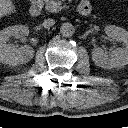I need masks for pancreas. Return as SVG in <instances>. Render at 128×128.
<instances>
[{
    "label": "pancreas",
    "instance_id": "obj_1",
    "mask_svg": "<svg viewBox=\"0 0 128 128\" xmlns=\"http://www.w3.org/2000/svg\"><path fill=\"white\" fill-rule=\"evenodd\" d=\"M44 2L45 9L51 13H56L64 8L60 0H44Z\"/></svg>",
    "mask_w": 128,
    "mask_h": 128
}]
</instances>
